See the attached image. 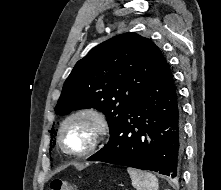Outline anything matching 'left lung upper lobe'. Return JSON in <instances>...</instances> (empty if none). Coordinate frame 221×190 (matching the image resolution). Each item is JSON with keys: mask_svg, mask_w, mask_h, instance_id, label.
Listing matches in <instances>:
<instances>
[{"mask_svg": "<svg viewBox=\"0 0 221 190\" xmlns=\"http://www.w3.org/2000/svg\"><path fill=\"white\" fill-rule=\"evenodd\" d=\"M166 59L149 39L135 33L115 36L79 60L66 79L55 113L95 108L111 129L162 70Z\"/></svg>", "mask_w": 221, "mask_h": 190, "instance_id": "5c2ea615", "label": "left lung upper lobe"}]
</instances>
